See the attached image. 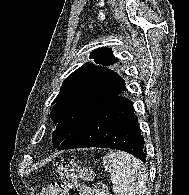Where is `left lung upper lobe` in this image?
<instances>
[{
  "label": "left lung upper lobe",
  "mask_w": 189,
  "mask_h": 195,
  "mask_svg": "<svg viewBox=\"0 0 189 195\" xmlns=\"http://www.w3.org/2000/svg\"><path fill=\"white\" fill-rule=\"evenodd\" d=\"M96 64L85 63L63 82L50 117L57 125L53 134L58 147L78 126L86 121L109 99L125 88V82L113 70L105 67L118 61L108 48H99L90 55Z\"/></svg>",
  "instance_id": "1"
}]
</instances>
